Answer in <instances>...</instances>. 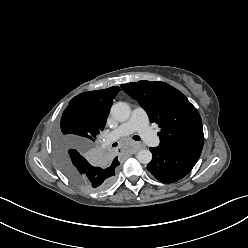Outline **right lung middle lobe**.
Here are the masks:
<instances>
[{
  "instance_id": "1",
  "label": "right lung middle lobe",
  "mask_w": 248,
  "mask_h": 248,
  "mask_svg": "<svg viewBox=\"0 0 248 248\" xmlns=\"http://www.w3.org/2000/svg\"><path fill=\"white\" fill-rule=\"evenodd\" d=\"M101 129L81 105H70L62 114L55 146L62 171L74 183L88 191H101L114 181L116 166L105 158H96L91 149ZM80 153L79 163L69 158L73 148ZM68 148H72L67 152ZM76 150V149H75Z\"/></svg>"
}]
</instances>
